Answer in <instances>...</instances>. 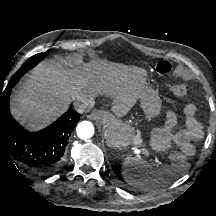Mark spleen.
<instances>
[{
    "instance_id": "obj_1",
    "label": "spleen",
    "mask_w": 216,
    "mask_h": 216,
    "mask_svg": "<svg viewBox=\"0 0 216 216\" xmlns=\"http://www.w3.org/2000/svg\"><path fill=\"white\" fill-rule=\"evenodd\" d=\"M174 171L175 165L154 168L148 161L131 156L124 158L121 167L124 180L143 190H149L159 183H168L175 176L168 179L164 176L171 175Z\"/></svg>"
}]
</instances>
